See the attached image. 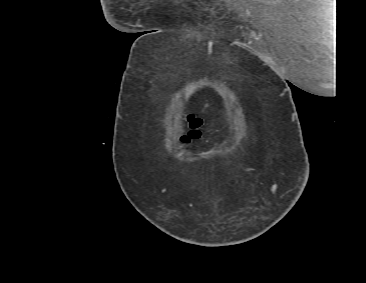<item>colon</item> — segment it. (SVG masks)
I'll return each mask as SVG.
<instances>
[{"instance_id": "colon-1", "label": "colon", "mask_w": 366, "mask_h": 283, "mask_svg": "<svg viewBox=\"0 0 366 283\" xmlns=\"http://www.w3.org/2000/svg\"><path fill=\"white\" fill-rule=\"evenodd\" d=\"M185 121L189 128V131L186 135L182 137V142L184 144H187L190 141L198 139L201 136L202 120L198 117L189 115L185 118Z\"/></svg>"}]
</instances>
